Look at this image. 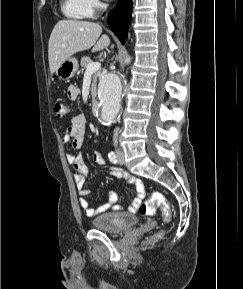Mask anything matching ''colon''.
Segmentation results:
<instances>
[{"label":"colon","instance_id":"obj_1","mask_svg":"<svg viewBox=\"0 0 243 289\" xmlns=\"http://www.w3.org/2000/svg\"><path fill=\"white\" fill-rule=\"evenodd\" d=\"M54 112L57 117L63 118L67 115L68 109L64 103L57 101L54 104ZM157 207L162 210L165 220L169 221L171 217V207L167 199L160 192H153L148 199L141 202L138 209L142 215L150 216L154 214Z\"/></svg>","mask_w":243,"mask_h":289}]
</instances>
